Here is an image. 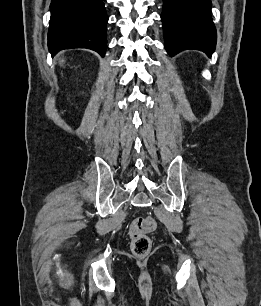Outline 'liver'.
I'll return each mask as SVG.
<instances>
[{
  "mask_svg": "<svg viewBox=\"0 0 261 306\" xmlns=\"http://www.w3.org/2000/svg\"><path fill=\"white\" fill-rule=\"evenodd\" d=\"M64 62H65V60L63 58L59 60L60 65H63Z\"/></svg>",
  "mask_w": 261,
  "mask_h": 306,
  "instance_id": "liver-1",
  "label": "liver"
}]
</instances>
